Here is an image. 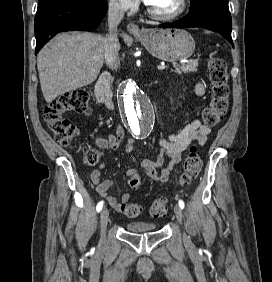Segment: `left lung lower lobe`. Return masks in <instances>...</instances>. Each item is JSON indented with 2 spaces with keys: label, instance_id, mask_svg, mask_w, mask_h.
Segmentation results:
<instances>
[{
  "label": "left lung lower lobe",
  "instance_id": "1",
  "mask_svg": "<svg viewBox=\"0 0 272 282\" xmlns=\"http://www.w3.org/2000/svg\"><path fill=\"white\" fill-rule=\"evenodd\" d=\"M231 26L228 0H191L190 11L183 19L159 25L162 28H206L220 33L233 45Z\"/></svg>",
  "mask_w": 272,
  "mask_h": 282
}]
</instances>
